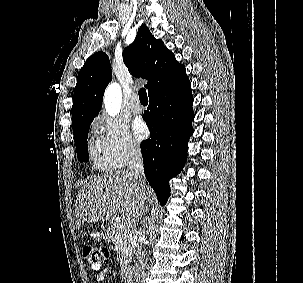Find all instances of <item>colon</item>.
I'll return each mask as SVG.
<instances>
[{"label": "colon", "instance_id": "5ec220e1", "mask_svg": "<svg viewBox=\"0 0 303 283\" xmlns=\"http://www.w3.org/2000/svg\"><path fill=\"white\" fill-rule=\"evenodd\" d=\"M83 257L91 271L100 272L110 258V250L102 244L88 243L83 247Z\"/></svg>", "mask_w": 303, "mask_h": 283}]
</instances>
